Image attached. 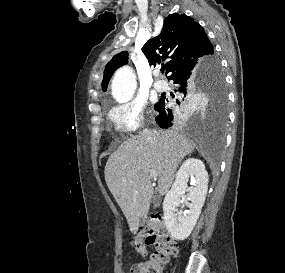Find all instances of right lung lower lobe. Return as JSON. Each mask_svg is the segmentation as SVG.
<instances>
[{
	"mask_svg": "<svg viewBox=\"0 0 285 273\" xmlns=\"http://www.w3.org/2000/svg\"><path fill=\"white\" fill-rule=\"evenodd\" d=\"M209 61L210 57L201 59L198 62L192 63L191 65L179 70L173 76H171L169 80H172L174 84L177 85L175 91H178L186 96L198 84L203 82L205 69ZM177 103L180 104L178 100ZM167 104L168 99L162 97L154 106V109L159 112L155 120L162 128H168L173 125L174 121L184 117L186 110L191 106V103L189 105L181 104L174 110H171L167 107Z\"/></svg>",
	"mask_w": 285,
	"mask_h": 273,
	"instance_id": "right-lung-lower-lobe-1",
	"label": "right lung lower lobe"
}]
</instances>
